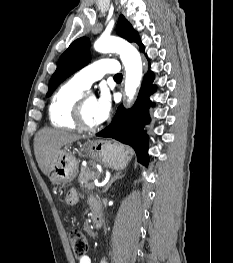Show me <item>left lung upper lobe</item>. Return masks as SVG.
Listing matches in <instances>:
<instances>
[{
  "label": "left lung upper lobe",
  "instance_id": "1",
  "mask_svg": "<svg viewBox=\"0 0 233 263\" xmlns=\"http://www.w3.org/2000/svg\"><path fill=\"white\" fill-rule=\"evenodd\" d=\"M117 34L129 42H136L140 49L143 47L138 33L133 29L132 25L120 15L116 27ZM90 61L89 39L86 37L75 40L68 49L61 55L57 69L52 75L47 97H49L57 86L67 77L77 70L87 65Z\"/></svg>",
  "mask_w": 233,
  "mask_h": 263
}]
</instances>
